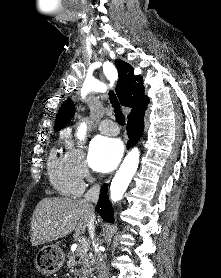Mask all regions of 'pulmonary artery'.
<instances>
[{
  "instance_id": "1",
  "label": "pulmonary artery",
  "mask_w": 221,
  "mask_h": 278,
  "mask_svg": "<svg viewBox=\"0 0 221 278\" xmlns=\"http://www.w3.org/2000/svg\"><path fill=\"white\" fill-rule=\"evenodd\" d=\"M100 130L106 135H116L119 132L118 127L110 120H105L100 125Z\"/></svg>"
}]
</instances>
